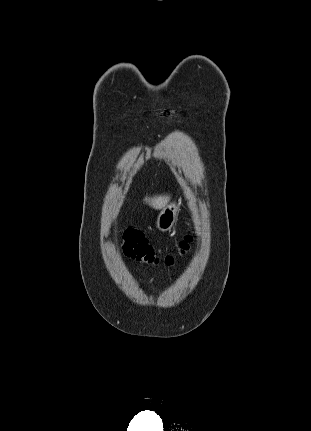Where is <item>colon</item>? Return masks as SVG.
I'll list each match as a JSON object with an SVG mask.
<instances>
[{
    "mask_svg": "<svg viewBox=\"0 0 311 431\" xmlns=\"http://www.w3.org/2000/svg\"><path fill=\"white\" fill-rule=\"evenodd\" d=\"M124 253L137 261H142L145 263H159L161 258L157 256L148 243V241L143 237V235L136 230H127L124 235ZM192 236L187 234L179 244V253H185L190 249L192 243ZM175 255H166L163 259L164 263L171 265L174 263Z\"/></svg>",
    "mask_w": 311,
    "mask_h": 431,
    "instance_id": "colon-1",
    "label": "colon"
}]
</instances>
